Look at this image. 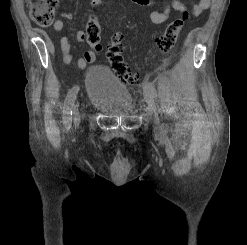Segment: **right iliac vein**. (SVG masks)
Here are the masks:
<instances>
[{"instance_id": "63e3f726", "label": "right iliac vein", "mask_w": 247, "mask_h": 245, "mask_svg": "<svg viewBox=\"0 0 247 245\" xmlns=\"http://www.w3.org/2000/svg\"><path fill=\"white\" fill-rule=\"evenodd\" d=\"M73 120H74L75 125L79 124L80 122V114H79V109L77 105H75L73 108Z\"/></svg>"}]
</instances>
